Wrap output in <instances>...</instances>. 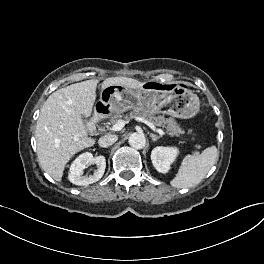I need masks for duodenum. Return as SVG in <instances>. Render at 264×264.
<instances>
[{
	"label": "duodenum",
	"instance_id": "obj_1",
	"mask_svg": "<svg viewBox=\"0 0 264 264\" xmlns=\"http://www.w3.org/2000/svg\"><path fill=\"white\" fill-rule=\"evenodd\" d=\"M103 118V113L100 111H97L93 114V116L91 117L89 124H88V129L90 132L95 131L96 126L98 124V122Z\"/></svg>",
	"mask_w": 264,
	"mask_h": 264
}]
</instances>
